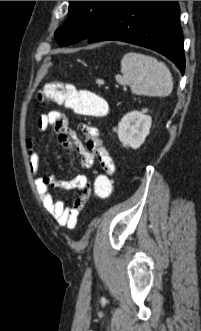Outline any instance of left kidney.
<instances>
[{
  "mask_svg": "<svg viewBox=\"0 0 201 331\" xmlns=\"http://www.w3.org/2000/svg\"><path fill=\"white\" fill-rule=\"evenodd\" d=\"M147 109L127 113L119 122L117 133L124 147L138 149L149 135L152 119Z\"/></svg>",
  "mask_w": 201,
  "mask_h": 331,
  "instance_id": "obj_1",
  "label": "left kidney"
}]
</instances>
